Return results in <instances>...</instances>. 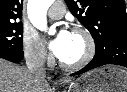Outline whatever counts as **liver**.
<instances>
[{
	"mask_svg": "<svg viewBox=\"0 0 127 92\" xmlns=\"http://www.w3.org/2000/svg\"><path fill=\"white\" fill-rule=\"evenodd\" d=\"M71 79L63 80V83ZM0 92H52L47 81L37 79L28 69L0 58Z\"/></svg>",
	"mask_w": 127,
	"mask_h": 92,
	"instance_id": "1",
	"label": "liver"
}]
</instances>
